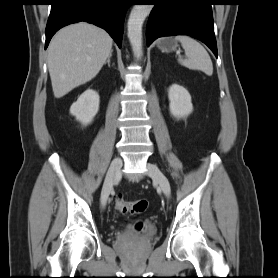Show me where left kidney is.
Listing matches in <instances>:
<instances>
[{
	"mask_svg": "<svg viewBox=\"0 0 278 278\" xmlns=\"http://www.w3.org/2000/svg\"><path fill=\"white\" fill-rule=\"evenodd\" d=\"M170 113L175 118H184L192 113L193 105L189 92L178 84H172L168 90Z\"/></svg>",
	"mask_w": 278,
	"mask_h": 278,
	"instance_id": "5707ae66",
	"label": "left kidney"
}]
</instances>
